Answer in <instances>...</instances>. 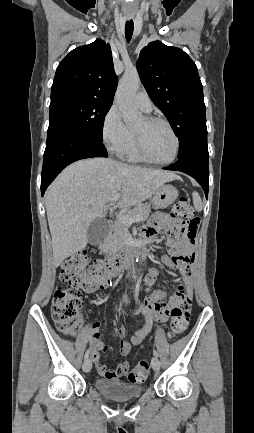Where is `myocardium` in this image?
<instances>
[{
	"label": "myocardium",
	"mask_w": 254,
	"mask_h": 433,
	"mask_svg": "<svg viewBox=\"0 0 254 433\" xmlns=\"http://www.w3.org/2000/svg\"><path fill=\"white\" fill-rule=\"evenodd\" d=\"M146 121L149 124H162V125H164L169 130V132L171 133V135L174 138L175 150H174V153L170 159H168L166 161H157V160L153 159L148 154L141 137L137 133H134L135 144H136V148H137V151H138L140 157L144 161H146L150 164H154V165L166 166V165L172 164L177 159L179 152H180V139H179L177 133L175 132V130L173 129L171 124L168 121H166L165 119L158 118V117H147Z\"/></svg>",
	"instance_id": "obj_1"
}]
</instances>
